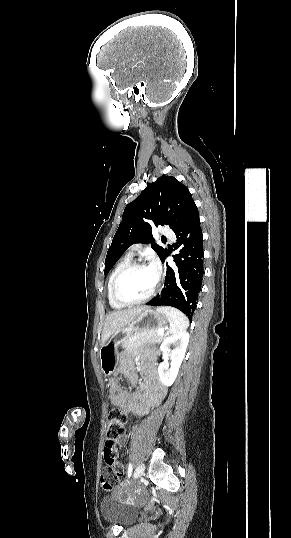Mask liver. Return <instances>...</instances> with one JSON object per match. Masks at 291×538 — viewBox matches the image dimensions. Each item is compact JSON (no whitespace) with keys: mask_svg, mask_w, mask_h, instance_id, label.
<instances>
[{"mask_svg":"<svg viewBox=\"0 0 291 538\" xmlns=\"http://www.w3.org/2000/svg\"><path fill=\"white\" fill-rule=\"evenodd\" d=\"M148 308V306H139L125 310H115L108 313L103 326L101 346H103L110 336L115 334L118 330L130 326L136 317Z\"/></svg>","mask_w":291,"mask_h":538,"instance_id":"1","label":"liver"}]
</instances>
